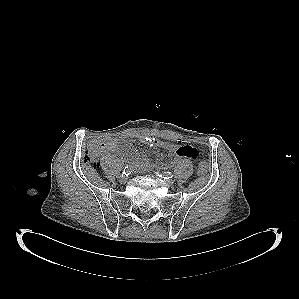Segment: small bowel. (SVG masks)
<instances>
[{
    "label": "small bowel",
    "instance_id": "1",
    "mask_svg": "<svg viewBox=\"0 0 299 299\" xmlns=\"http://www.w3.org/2000/svg\"><path fill=\"white\" fill-rule=\"evenodd\" d=\"M143 141L148 145L166 149L170 154H173L179 158L198 160L200 157L199 151L190 145L172 144L164 140H159L155 137H144ZM103 149L107 152L118 151V141L115 139L106 141ZM130 158L134 168L139 170H145L149 168V160L145 155L138 152H131Z\"/></svg>",
    "mask_w": 299,
    "mask_h": 299
}]
</instances>
